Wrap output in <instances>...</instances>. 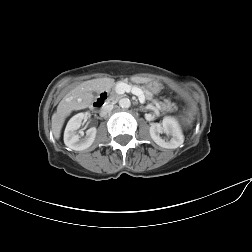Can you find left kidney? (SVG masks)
<instances>
[{"label":"left kidney","instance_id":"5707ae66","mask_svg":"<svg viewBox=\"0 0 252 252\" xmlns=\"http://www.w3.org/2000/svg\"><path fill=\"white\" fill-rule=\"evenodd\" d=\"M150 136L153 141L168 149H175L183 144L184 138L178 122L170 116L164 117L162 124L153 123L149 129ZM165 133L170 139L162 138L160 134Z\"/></svg>","mask_w":252,"mask_h":252}]
</instances>
